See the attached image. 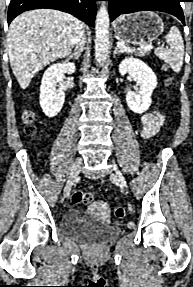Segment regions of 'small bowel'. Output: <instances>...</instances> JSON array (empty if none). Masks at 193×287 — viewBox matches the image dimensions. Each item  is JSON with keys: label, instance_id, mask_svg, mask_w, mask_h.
<instances>
[{"label": "small bowel", "instance_id": "obj_1", "mask_svg": "<svg viewBox=\"0 0 193 287\" xmlns=\"http://www.w3.org/2000/svg\"><path fill=\"white\" fill-rule=\"evenodd\" d=\"M164 115L159 109L140 115L141 130L144 136L151 137L160 128Z\"/></svg>", "mask_w": 193, "mask_h": 287}]
</instances>
